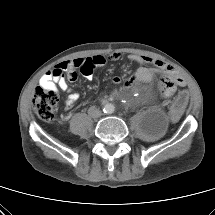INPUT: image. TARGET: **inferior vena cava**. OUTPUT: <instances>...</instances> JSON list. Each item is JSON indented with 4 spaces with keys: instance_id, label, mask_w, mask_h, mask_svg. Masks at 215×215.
Segmentation results:
<instances>
[{
    "instance_id": "602c4592",
    "label": "inferior vena cava",
    "mask_w": 215,
    "mask_h": 215,
    "mask_svg": "<svg viewBox=\"0 0 215 215\" xmlns=\"http://www.w3.org/2000/svg\"><path fill=\"white\" fill-rule=\"evenodd\" d=\"M88 114L92 118H98L102 115L101 111L95 106H92L88 109Z\"/></svg>"
}]
</instances>
